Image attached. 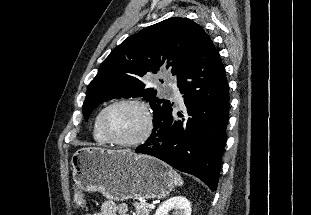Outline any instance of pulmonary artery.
Returning <instances> with one entry per match:
<instances>
[{"label": "pulmonary artery", "instance_id": "1", "mask_svg": "<svg viewBox=\"0 0 311 215\" xmlns=\"http://www.w3.org/2000/svg\"><path fill=\"white\" fill-rule=\"evenodd\" d=\"M167 85L172 96L176 99H181V93L177 83L173 80H168Z\"/></svg>", "mask_w": 311, "mask_h": 215}]
</instances>
